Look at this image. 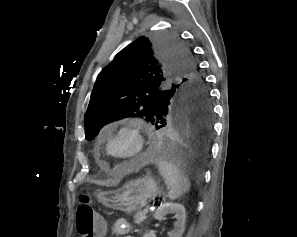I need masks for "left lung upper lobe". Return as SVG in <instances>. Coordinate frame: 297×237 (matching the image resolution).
I'll return each instance as SVG.
<instances>
[{"label":"left lung upper lobe","mask_w":297,"mask_h":237,"mask_svg":"<svg viewBox=\"0 0 297 237\" xmlns=\"http://www.w3.org/2000/svg\"><path fill=\"white\" fill-rule=\"evenodd\" d=\"M190 50L173 34L142 36L98 75L84 117L92 140L106 124L141 117L156 128L176 103L210 101Z\"/></svg>","instance_id":"obj_1"}]
</instances>
